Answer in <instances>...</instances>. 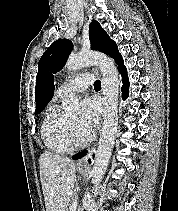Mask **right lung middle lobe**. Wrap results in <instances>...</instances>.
Listing matches in <instances>:
<instances>
[{"label": "right lung middle lobe", "instance_id": "dd1d6c3e", "mask_svg": "<svg viewBox=\"0 0 178 211\" xmlns=\"http://www.w3.org/2000/svg\"><path fill=\"white\" fill-rule=\"evenodd\" d=\"M39 112H40V111H38V112H35V115H37Z\"/></svg>", "mask_w": 178, "mask_h": 211}]
</instances>
